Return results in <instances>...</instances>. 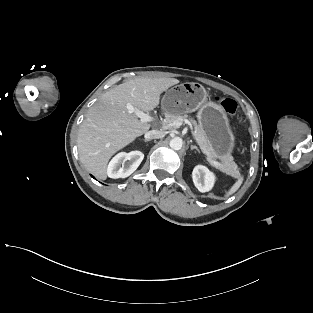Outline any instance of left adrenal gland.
<instances>
[{"instance_id": "1", "label": "left adrenal gland", "mask_w": 313, "mask_h": 313, "mask_svg": "<svg viewBox=\"0 0 313 313\" xmlns=\"http://www.w3.org/2000/svg\"><path fill=\"white\" fill-rule=\"evenodd\" d=\"M190 149H191V150H194V149H195L196 151L200 152V150L198 149V147L195 146V145H191V146H190Z\"/></svg>"}]
</instances>
